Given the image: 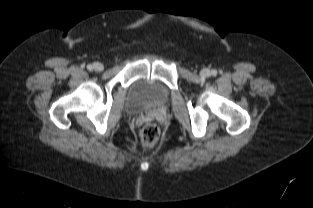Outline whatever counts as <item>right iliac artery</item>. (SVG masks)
Listing matches in <instances>:
<instances>
[{"mask_svg":"<svg viewBox=\"0 0 313 208\" xmlns=\"http://www.w3.org/2000/svg\"><path fill=\"white\" fill-rule=\"evenodd\" d=\"M88 70H92V65H87Z\"/></svg>","mask_w":313,"mask_h":208,"instance_id":"82829eb1","label":"right iliac artery"}]
</instances>
